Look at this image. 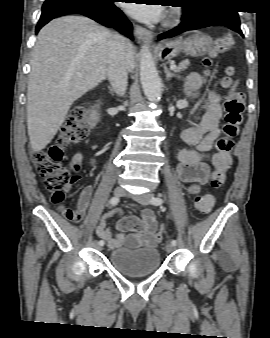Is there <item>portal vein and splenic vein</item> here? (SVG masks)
<instances>
[{
  "instance_id": "18ae733b",
  "label": "portal vein and splenic vein",
  "mask_w": 270,
  "mask_h": 338,
  "mask_svg": "<svg viewBox=\"0 0 270 338\" xmlns=\"http://www.w3.org/2000/svg\"><path fill=\"white\" fill-rule=\"evenodd\" d=\"M176 68H177L176 65H171V66H170V69H171V70H175Z\"/></svg>"
}]
</instances>
